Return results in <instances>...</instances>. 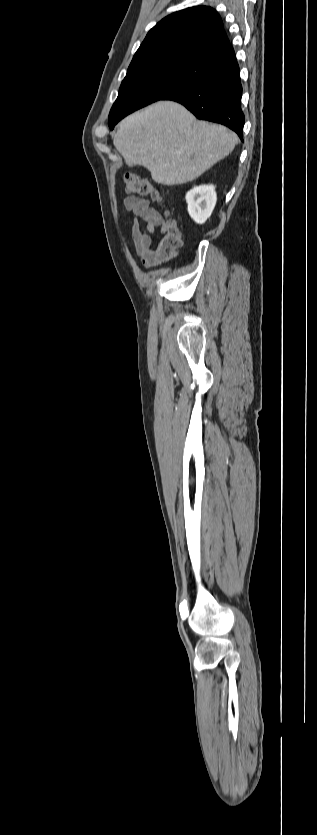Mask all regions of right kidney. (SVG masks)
<instances>
[{"label": "right kidney", "instance_id": "obj_1", "mask_svg": "<svg viewBox=\"0 0 317 835\" xmlns=\"http://www.w3.org/2000/svg\"><path fill=\"white\" fill-rule=\"evenodd\" d=\"M216 201L217 194L213 185H200L186 194L188 213L197 224L205 223L211 216Z\"/></svg>", "mask_w": 317, "mask_h": 835}]
</instances>
